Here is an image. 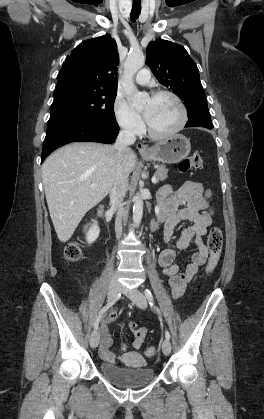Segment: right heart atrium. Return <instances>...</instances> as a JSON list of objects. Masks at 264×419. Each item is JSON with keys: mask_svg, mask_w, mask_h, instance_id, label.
<instances>
[{"mask_svg": "<svg viewBox=\"0 0 264 419\" xmlns=\"http://www.w3.org/2000/svg\"><path fill=\"white\" fill-rule=\"evenodd\" d=\"M112 108L115 120L122 130L133 135H137L142 131L143 122L141 116L130 107L122 95H116Z\"/></svg>", "mask_w": 264, "mask_h": 419, "instance_id": "right-heart-atrium-1", "label": "right heart atrium"}]
</instances>
